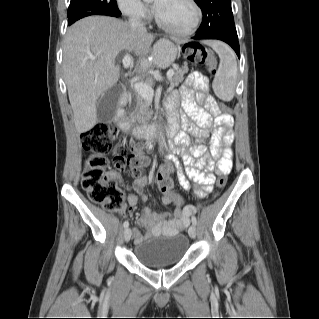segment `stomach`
Returning a JSON list of instances; mask_svg holds the SVG:
<instances>
[{"label": "stomach", "mask_w": 319, "mask_h": 319, "mask_svg": "<svg viewBox=\"0 0 319 319\" xmlns=\"http://www.w3.org/2000/svg\"><path fill=\"white\" fill-rule=\"evenodd\" d=\"M154 51L156 56V65L166 67L175 60L178 48L174 43L163 39L155 45Z\"/></svg>", "instance_id": "1"}]
</instances>
